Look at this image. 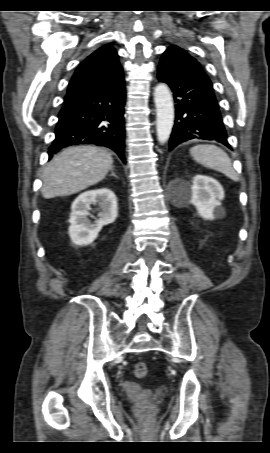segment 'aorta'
I'll list each match as a JSON object with an SVG mask.
<instances>
[{"label":"aorta","instance_id":"aorta-1","mask_svg":"<svg viewBox=\"0 0 270 453\" xmlns=\"http://www.w3.org/2000/svg\"><path fill=\"white\" fill-rule=\"evenodd\" d=\"M156 106V131L160 144H164L170 137L174 124V105L170 89L165 83H159L154 89Z\"/></svg>","mask_w":270,"mask_h":453}]
</instances>
